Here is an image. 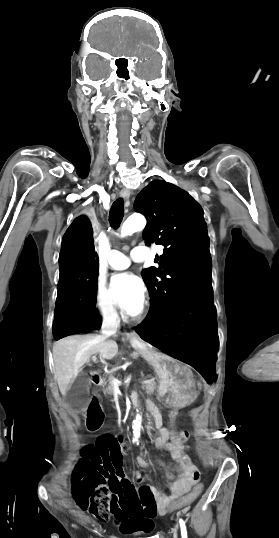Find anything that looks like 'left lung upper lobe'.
<instances>
[{"label": "left lung upper lobe", "mask_w": 279, "mask_h": 538, "mask_svg": "<svg viewBox=\"0 0 279 538\" xmlns=\"http://www.w3.org/2000/svg\"><path fill=\"white\" fill-rule=\"evenodd\" d=\"M147 218L146 245H163L158 267L142 272L151 307L143 322L161 321L179 301L197 288L211 284L209 238L199 204L185 191L165 181L147 185L134 202Z\"/></svg>", "instance_id": "obj_1"}]
</instances>
